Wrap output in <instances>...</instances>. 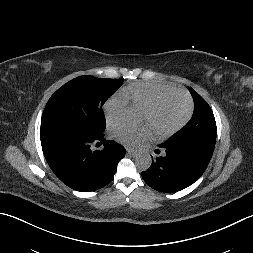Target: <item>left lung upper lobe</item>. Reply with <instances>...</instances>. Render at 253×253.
Here are the masks:
<instances>
[{
  "label": "left lung upper lobe",
  "instance_id": "obj_1",
  "mask_svg": "<svg viewBox=\"0 0 253 253\" xmlns=\"http://www.w3.org/2000/svg\"><path fill=\"white\" fill-rule=\"evenodd\" d=\"M194 113L186 127L162 145H179L196 149L211 158L216 142V122L208 103L192 88Z\"/></svg>",
  "mask_w": 253,
  "mask_h": 253
}]
</instances>
